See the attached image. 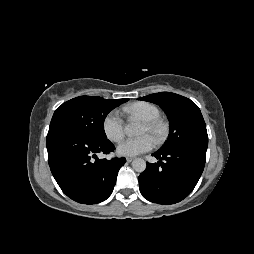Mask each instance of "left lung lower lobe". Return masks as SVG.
<instances>
[{
  "label": "left lung lower lobe",
  "mask_w": 254,
  "mask_h": 254,
  "mask_svg": "<svg viewBox=\"0 0 254 254\" xmlns=\"http://www.w3.org/2000/svg\"><path fill=\"white\" fill-rule=\"evenodd\" d=\"M207 147L185 145L152 156L157 163H147L138 177L140 192L149 201L169 205L186 198L196 186L205 165Z\"/></svg>",
  "instance_id": "obj_1"
}]
</instances>
